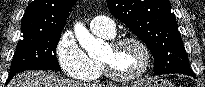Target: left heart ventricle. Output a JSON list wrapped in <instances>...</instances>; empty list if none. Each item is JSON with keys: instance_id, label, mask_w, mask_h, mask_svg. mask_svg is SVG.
Listing matches in <instances>:
<instances>
[{"instance_id": "b2bd125f", "label": "left heart ventricle", "mask_w": 205, "mask_h": 87, "mask_svg": "<svg viewBox=\"0 0 205 87\" xmlns=\"http://www.w3.org/2000/svg\"><path fill=\"white\" fill-rule=\"evenodd\" d=\"M100 59L107 61L113 70L121 75L134 74L144 64V54L134 43L124 44L115 50L107 46Z\"/></svg>"}]
</instances>
